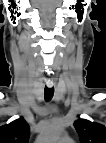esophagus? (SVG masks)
Returning <instances> with one entry per match:
<instances>
[{"label":"esophagus","mask_w":106,"mask_h":143,"mask_svg":"<svg viewBox=\"0 0 106 143\" xmlns=\"http://www.w3.org/2000/svg\"><path fill=\"white\" fill-rule=\"evenodd\" d=\"M48 87H49V88H51V87H52V85H51V84H49V85H48Z\"/></svg>","instance_id":"1"}]
</instances>
